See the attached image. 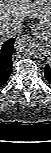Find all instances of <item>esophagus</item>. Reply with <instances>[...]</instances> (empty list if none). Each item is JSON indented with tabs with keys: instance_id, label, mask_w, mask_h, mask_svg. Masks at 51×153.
<instances>
[{
	"instance_id": "obj_1",
	"label": "esophagus",
	"mask_w": 51,
	"mask_h": 153,
	"mask_svg": "<svg viewBox=\"0 0 51 153\" xmlns=\"http://www.w3.org/2000/svg\"><path fill=\"white\" fill-rule=\"evenodd\" d=\"M32 34L35 36V37H39L41 35V31H40V28L38 26H33L32 27Z\"/></svg>"
}]
</instances>
